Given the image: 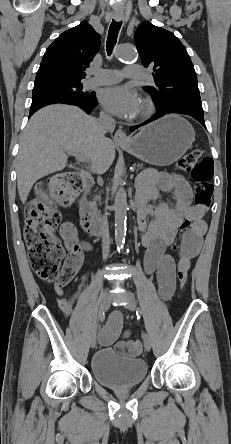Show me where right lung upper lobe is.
<instances>
[{
	"instance_id": "1",
	"label": "right lung upper lobe",
	"mask_w": 231,
	"mask_h": 444,
	"mask_svg": "<svg viewBox=\"0 0 231 444\" xmlns=\"http://www.w3.org/2000/svg\"><path fill=\"white\" fill-rule=\"evenodd\" d=\"M100 42V35L87 21L63 32L46 49L33 89L57 83H81Z\"/></svg>"
}]
</instances>
